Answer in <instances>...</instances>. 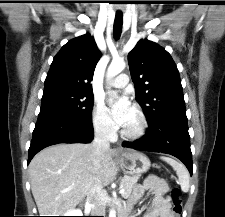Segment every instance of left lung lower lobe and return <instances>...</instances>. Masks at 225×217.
Listing matches in <instances>:
<instances>
[{
  "instance_id": "0a47b994",
  "label": "left lung lower lobe",
  "mask_w": 225,
  "mask_h": 217,
  "mask_svg": "<svg viewBox=\"0 0 225 217\" xmlns=\"http://www.w3.org/2000/svg\"><path fill=\"white\" fill-rule=\"evenodd\" d=\"M145 136L123 147L136 150L162 152L180 159L192 175V153L186 115L170 116L149 124Z\"/></svg>"
}]
</instances>
